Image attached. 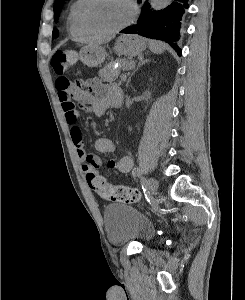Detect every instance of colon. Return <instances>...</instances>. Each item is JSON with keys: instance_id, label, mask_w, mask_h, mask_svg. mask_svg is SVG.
<instances>
[{"instance_id": "5ec220e1", "label": "colon", "mask_w": 245, "mask_h": 300, "mask_svg": "<svg viewBox=\"0 0 245 300\" xmlns=\"http://www.w3.org/2000/svg\"><path fill=\"white\" fill-rule=\"evenodd\" d=\"M76 59L77 55L74 51H58L53 55L51 63L54 71L62 75L70 65L76 62ZM72 84L78 85L76 83ZM87 181L90 188L104 199L125 203H136L141 200V194L138 189L110 184L100 174H89Z\"/></svg>"}]
</instances>
